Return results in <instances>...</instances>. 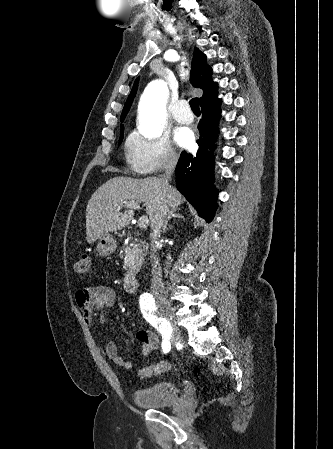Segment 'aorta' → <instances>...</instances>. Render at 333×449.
Wrapping results in <instances>:
<instances>
[{
    "instance_id": "1",
    "label": "aorta",
    "mask_w": 333,
    "mask_h": 449,
    "mask_svg": "<svg viewBox=\"0 0 333 449\" xmlns=\"http://www.w3.org/2000/svg\"><path fill=\"white\" fill-rule=\"evenodd\" d=\"M168 93V86L162 80H155L146 87L139 104L140 132L145 137L162 134Z\"/></svg>"
}]
</instances>
